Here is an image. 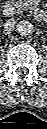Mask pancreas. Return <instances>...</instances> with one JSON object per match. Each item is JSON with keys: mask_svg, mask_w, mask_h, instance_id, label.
Returning <instances> with one entry per match:
<instances>
[{"mask_svg": "<svg viewBox=\"0 0 47 129\" xmlns=\"http://www.w3.org/2000/svg\"><path fill=\"white\" fill-rule=\"evenodd\" d=\"M33 1V0H31ZM29 1L28 0H18V1H15L14 2V6L19 10V11H22V10H27L29 8Z\"/></svg>", "mask_w": 47, "mask_h": 129, "instance_id": "cf45deb5", "label": "pancreas"}]
</instances>
